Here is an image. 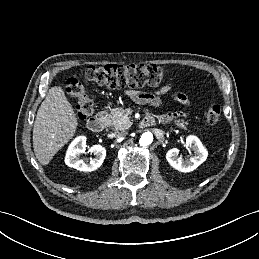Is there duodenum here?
I'll use <instances>...</instances> for the list:
<instances>
[{"label":"duodenum","instance_id":"410a0bca","mask_svg":"<svg viewBox=\"0 0 259 259\" xmlns=\"http://www.w3.org/2000/svg\"><path fill=\"white\" fill-rule=\"evenodd\" d=\"M152 122V118L150 116H145L141 122L142 125H149ZM107 125V120L105 117L97 115L90 118L87 121V127L92 132H101L105 129Z\"/></svg>","mask_w":259,"mask_h":259}]
</instances>
